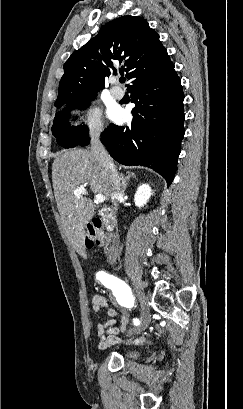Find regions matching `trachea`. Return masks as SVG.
Masks as SVG:
<instances>
[{"label": "trachea", "mask_w": 243, "mask_h": 409, "mask_svg": "<svg viewBox=\"0 0 243 409\" xmlns=\"http://www.w3.org/2000/svg\"><path fill=\"white\" fill-rule=\"evenodd\" d=\"M125 78L124 77H121L120 79H119V81L121 82V83H124L125 82Z\"/></svg>", "instance_id": "1"}]
</instances>
